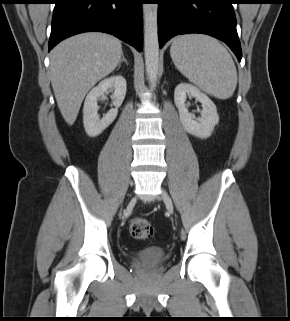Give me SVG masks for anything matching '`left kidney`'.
Returning a JSON list of instances; mask_svg holds the SVG:
<instances>
[{"mask_svg":"<svg viewBox=\"0 0 290 321\" xmlns=\"http://www.w3.org/2000/svg\"><path fill=\"white\" fill-rule=\"evenodd\" d=\"M194 97L202 104L201 117L196 118L187 109L186 98ZM174 102L179 111L180 121L184 129L199 138H208L219 122L217 109L213 101L191 84L181 83L175 88Z\"/></svg>","mask_w":290,"mask_h":321,"instance_id":"left-kidney-1","label":"left kidney"}]
</instances>
